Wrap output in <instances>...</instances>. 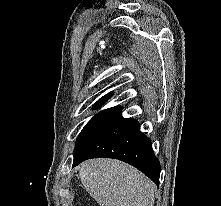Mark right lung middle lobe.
<instances>
[{
  "instance_id": "dd1d6c3e",
  "label": "right lung middle lobe",
  "mask_w": 221,
  "mask_h": 206,
  "mask_svg": "<svg viewBox=\"0 0 221 206\" xmlns=\"http://www.w3.org/2000/svg\"><path fill=\"white\" fill-rule=\"evenodd\" d=\"M121 111L120 107L100 111L85 125L76 141L74 160L80 157L95 139L121 118Z\"/></svg>"
}]
</instances>
